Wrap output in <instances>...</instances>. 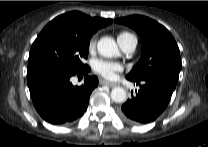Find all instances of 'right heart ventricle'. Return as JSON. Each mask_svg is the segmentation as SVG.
Segmentation results:
<instances>
[{
	"label": "right heart ventricle",
	"instance_id": "e07e8e85",
	"mask_svg": "<svg viewBox=\"0 0 208 147\" xmlns=\"http://www.w3.org/2000/svg\"><path fill=\"white\" fill-rule=\"evenodd\" d=\"M127 35H129V33H127V32H122V33H120L119 36H118V41H119L121 38H123V37H125V36H127Z\"/></svg>",
	"mask_w": 208,
	"mask_h": 147
}]
</instances>
